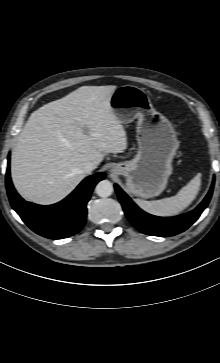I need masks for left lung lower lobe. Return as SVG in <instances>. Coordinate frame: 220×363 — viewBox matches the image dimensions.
I'll use <instances>...</instances> for the list:
<instances>
[{"label":"left lung lower lobe","instance_id":"0a47b994","mask_svg":"<svg viewBox=\"0 0 220 363\" xmlns=\"http://www.w3.org/2000/svg\"><path fill=\"white\" fill-rule=\"evenodd\" d=\"M213 188L214 181L207 196L193 211L178 217L162 218L152 216L142 211L118 185H115L119 201L122 204L123 210L129 221L141 233L153 236H173L185 231L199 218L201 213L208 206Z\"/></svg>","mask_w":220,"mask_h":363}]
</instances>
